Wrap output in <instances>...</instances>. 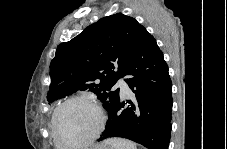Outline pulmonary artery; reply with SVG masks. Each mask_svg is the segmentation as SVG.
<instances>
[{"instance_id": "e3ab8cb5", "label": "pulmonary artery", "mask_w": 227, "mask_h": 149, "mask_svg": "<svg viewBox=\"0 0 227 149\" xmlns=\"http://www.w3.org/2000/svg\"><path fill=\"white\" fill-rule=\"evenodd\" d=\"M116 88H119L122 94H129L130 93V89L127 85V83L124 80H119L116 85Z\"/></svg>"}]
</instances>
